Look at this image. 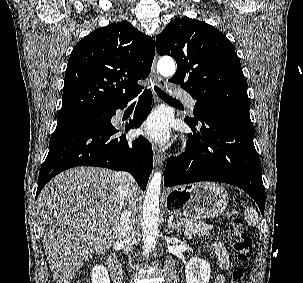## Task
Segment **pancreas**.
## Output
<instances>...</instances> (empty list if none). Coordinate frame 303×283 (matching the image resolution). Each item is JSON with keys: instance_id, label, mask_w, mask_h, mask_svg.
Here are the masks:
<instances>
[{"instance_id": "cf45deb5", "label": "pancreas", "mask_w": 303, "mask_h": 283, "mask_svg": "<svg viewBox=\"0 0 303 283\" xmlns=\"http://www.w3.org/2000/svg\"><path fill=\"white\" fill-rule=\"evenodd\" d=\"M179 222L187 235H209L213 225L206 224L192 218H180Z\"/></svg>"}]
</instances>
